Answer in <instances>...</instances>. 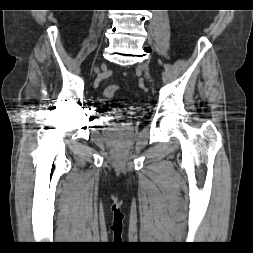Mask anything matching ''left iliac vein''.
<instances>
[{
  "mask_svg": "<svg viewBox=\"0 0 253 253\" xmlns=\"http://www.w3.org/2000/svg\"><path fill=\"white\" fill-rule=\"evenodd\" d=\"M139 69L144 71L145 77L149 80L150 74H149L147 65L143 64L142 66L139 67Z\"/></svg>",
  "mask_w": 253,
  "mask_h": 253,
  "instance_id": "4c4485c4",
  "label": "left iliac vein"
}]
</instances>
